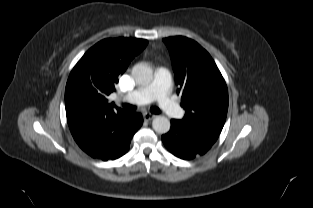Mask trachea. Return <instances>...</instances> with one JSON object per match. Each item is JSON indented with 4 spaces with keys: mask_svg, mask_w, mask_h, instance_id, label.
Listing matches in <instances>:
<instances>
[{
    "mask_svg": "<svg viewBox=\"0 0 313 208\" xmlns=\"http://www.w3.org/2000/svg\"><path fill=\"white\" fill-rule=\"evenodd\" d=\"M123 108L125 110H129V111H134L136 109V107L134 105H130V104H127V103L123 104ZM150 110L154 114H159L161 112L160 109L157 108V107H152Z\"/></svg>",
    "mask_w": 313,
    "mask_h": 208,
    "instance_id": "trachea-1",
    "label": "trachea"
}]
</instances>
